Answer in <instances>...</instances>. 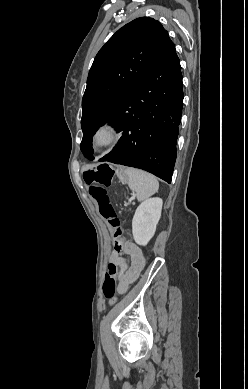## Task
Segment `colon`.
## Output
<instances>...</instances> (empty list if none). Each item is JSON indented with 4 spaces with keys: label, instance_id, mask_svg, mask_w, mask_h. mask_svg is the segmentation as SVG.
<instances>
[{
    "label": "colon",
    "instance_id": "obj_1",
    "mask_svg": "<svg viewBox=\"0 0 248 389\" xmlns=\"http://www.w3.org/2000/svg\"><path fill=\"white\" fill-rule=\"evenodd\" d=\"M109 166V161H100L99 166L87 170L84 177L86 183L90 185L91 194L98 202L101 215L109 219L114 228V248L120 251L124 244V241L121 239V222L116 216L106 191V188L110 186L114 178V172ZM117 271V265L111 263L105 274L103 295L110 302H113L115 294L118 292V284L116 281Z\"/></svg>",
    "mask_w": 248,
    "mask_h": 389
}]
</instances>
